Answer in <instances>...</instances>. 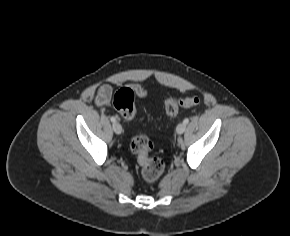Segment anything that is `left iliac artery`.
I'll return each mask as SVG.
<instances>
[{"label":"left iliac artery","mask_w":290,"mask_h":236,"mask_svg":"<svg viewBox=\"0 0 290 236\" xmlns=\"http://www.w3.org/2000/svg\"><path fill=\"white\" fill-rule=\"evenodd\" d=\"M183 123L184 124H188L189 123V119L188 118L184 119Z\"/></svg>","instance_id":"1"}]
</instances>
